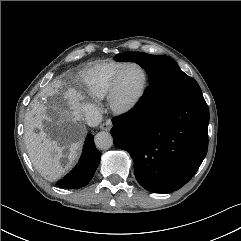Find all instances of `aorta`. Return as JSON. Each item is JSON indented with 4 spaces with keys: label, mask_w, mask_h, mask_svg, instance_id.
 Instances as JSON below:
<instances>
[{
    "label": "aorta",
    "mask_w": 241,
    "mask_h": 241,
    "mask_svg": "<svg viewBox=\"0 0 241 241\" xmlns=\"http://www.w3.org/2000/svg\"><path fill=\"white\" fill-rule=\"evenodd\" d=\"M95 144L101 150H107L113 145V137L110 133L101 131L95 136Z\"/></svg>",
    "instance_id": "aorta-1"
}]
</instances>
